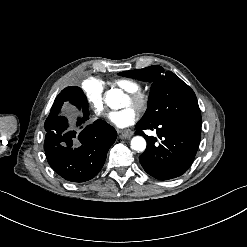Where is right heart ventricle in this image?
<instances>
[{
    "instance_id": "1",
    "label": "right heart ventricle",
    "mask_w": 247,
    "mask_h": 247,
    "mask_svg": "<svg viewBox=\"0 0 247 247\" xmlns=\"http://www.w3.org/2000/svg\"><path fill=\"white\" fill-rule=\"evenodd\" d=\"M120 85L128 91H134L137 89V85L129 81H121Z\"/></svg>"
}]
</instances>
